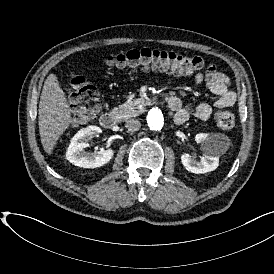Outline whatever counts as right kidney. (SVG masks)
I'll return each mask as SVG.
<instances>
[{
	"mask_svg": "<svg viewBox=\"0 0 274 274\" xmlns=\"http://www.w3.org/2000/svg\"><path fill=\"white\" fill-rule=\"evenodd\" d=\"M102 132L98 126L90 125L80 129L71 139L66 151V159L82 168H96L108 163L114 155L112 149L87 153L84 148L88 147V141L98 136Z\"/></svg>",
	"mask_w": 274,
	"mask_h": 274,
	"instance_id": "1",
	"label": "right kidney"
}]
</instances>
